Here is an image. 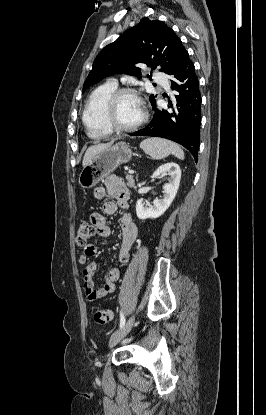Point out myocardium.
Returning <instances> with one entry per match:
<instances>
[{
  "mask_svg": "<svg viewBox=\"0 0 266 415\" xmlns=\"http://www.w3.org/2000/svg\"><path fill=\"white\" fill-rule=\"evenodd\" d=\"M126 94L134 95L139 101L140 97L137 93V91L133 88L129 87H122L116 89L107 100L106 106H105V117L106 121L109 124V126L113 129V131L118 132H131L135 131L138 128H140L148 119V112L145 107L142 106L143 113L138 122H136L133 125H122L120 124L116 119V106L118 103V100ZM141 103V102H140Z\"/></svg>",
  "mask_w": 266,
  "mask_h": 415,
  "instance_id": "myocardium-1",
  "label": "myocardium"
}]
</instances>
